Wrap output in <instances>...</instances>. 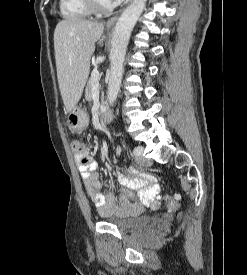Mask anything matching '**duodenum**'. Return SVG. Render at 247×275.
Returning a JSON list of instances; mask_svg holds the SVG:
<instances>
[{
	"label": "duodenum",
	"mask_w": 247,
	"mask_h": 275,
	"mask_svg": "<svg viewBox=\"0 0 247 275\" xmlns=\"http://www.w3.org/2000/svg\"><path fill=\"white\" fill-rule=\"evenodd\" d=\"M111 120H112L111 111L108 107H106V109L101 112V121L104 124H107V123H110Z\"/></svg>",
	"instance_id": "duodenum-1"
}]
</instances>
